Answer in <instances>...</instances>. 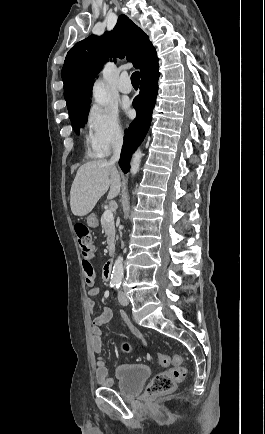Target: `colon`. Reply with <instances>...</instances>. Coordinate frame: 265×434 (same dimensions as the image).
<instances>
[{
  "label": "colon",
  "instance_id": "obj_1",
  "mask_svg": "<svg viewBox=\"0 0 265 434\" xmlns=\"http://www.w3.org/2000/svg\"><path fill=\"white\" fill-rule=\"evenodd\" d=\"M74 232L78 239L80 252L83 256L93 259L96 254V246L94 244L93 236L88 227L84 223H76L74 225ZM84 276L89 285L94 283L96 270L90 260L83 262ZM126 351H130L128 343L122 344ZM158 362L162 366L172 364L170 369L155 374L147 386L149 394H158L173 391L177 384L184 381L186 378V369L182 365L181 358L177 355L166 356L159 354L157 356Z\"/></svg>",
  "mask_w": 265,
  "mask_h": 434
}]
</instances>
